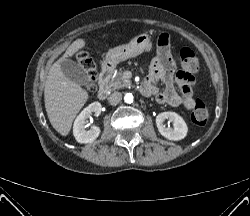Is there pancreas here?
Listing matches in <instances>:
<instances>
[{"instance_id":"cf45deb5","label":"pancreas","mask_w":250,"mask_h":216,"mask_svg":"<svg viewBox=\"0 0 250 216\" xmlns=\"http://www.w3.org/2000/svg\"><path fill=\"white\" fill-rule=\"evenodd\" d=\"M106 86L108 89H119L130 86V82L124 78L123 70L120 68L106 79Z\"/></svg>"}]
</instances>
